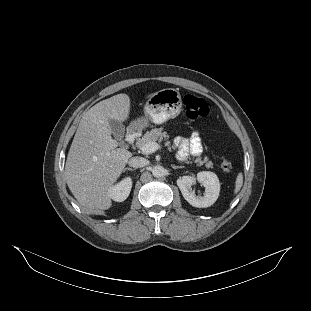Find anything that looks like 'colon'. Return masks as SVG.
Wrapping results in <instances>:
<instances>
[{"mask_svg":"<svg viewBox=\"0 0 311 311\" xmlns=\"http://www.w3.org/2000/svg\"><path fill=\"white\" fill-rule=\"evenodd\" d=\"M184 113L189 119H199L208 115L209 107L207 102L197 96L188 94L183 98ZM220 167L224 171H229L232 168V163L226 157L220 160Z\"/></svg>","mask_w":311,"mask_h":311,"instance_id":"1","label":"colon"}]
</instances>
